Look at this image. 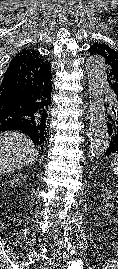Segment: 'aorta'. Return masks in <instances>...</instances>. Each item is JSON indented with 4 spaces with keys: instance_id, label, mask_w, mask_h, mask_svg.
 Instances as JSON below:
<instances>
[{
    "instance_id": "aorta-1",
    "label": "aorta",
    "mask_w": 118,
    "mask_h": 269,
    "mask_svg": "<svg viewBox=\"0 0 118 269\" xmlns=\"http://www.w3.org/2000/svg\"><path fill=\"white\" fill-rule=\"evenodd\" d=\"M86 72L90 94V153L92 157H100L107 146L108 127L104 109L103 90L107 81L106 64L101 57H90Z\"/></svg>"
}]
</instances>
